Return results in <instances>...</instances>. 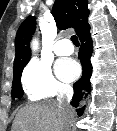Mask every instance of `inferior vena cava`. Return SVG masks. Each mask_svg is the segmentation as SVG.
I'll use <instances>...</instances> for the list:
<instances>
[{
    "label": "inferior vena cava",
    "instance_id": "inferior-vena-cava-1",
    "mask_svg": "<svg viewBox=\"0 0 117 131\" xmlns=\"http://www.w3.org/2000/svg\"><path fill=\"white\" fill-rule=\"evenodd\" d=\"M72 97H73V88L71 86L69 85L60 86L58 90L57 101L65 109L67 116L70 120L69 123H71V119L74 116V110L70 105Z\"/></svg>",
    "mask_w": 117,
    "mask_h": 131
}]
</instances>
